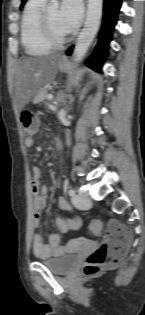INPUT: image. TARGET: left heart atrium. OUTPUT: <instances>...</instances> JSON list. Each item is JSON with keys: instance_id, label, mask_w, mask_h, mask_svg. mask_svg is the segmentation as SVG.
Returning <instances> with one entry per match:
<instances>
[{"instance_id": "left-heart-atrium-1", "label": "left heart atrium", "mask_w": 145, "mask_h": 315, "mask_svg": "<svg viewBox=\"0 0 145 315\" xmlns=\"http://www.w3.org/2000/svg\"><path fill=\"white\" fill-rule=\"evenodd\" d=\"M61 19L69 32L73 31L80 23L83 7L80 0H65L60 9Z\"/></svg>"}]
</instances>
